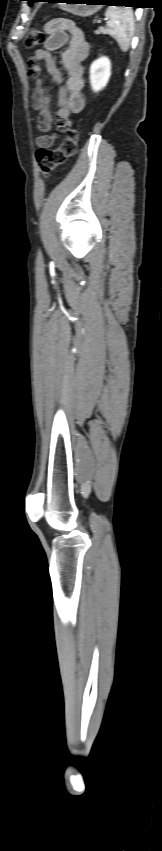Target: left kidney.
Returning <instances> with one entry per match:
<instances>
[{
    "mask_svg": "<svg viewBox=\"0 0 162 851\" xmlns=\"http://www.w3.org/2000/svg\"><path fill=\"white\" fill-rule=\"evenodd\" d=\"M111 75V62L107 57H100L90 66V84L94 92L101 91L107 85Z\"/></svg>",
    "mask_w": 162,
    "mask_h": 851,
    "instance_id": "1",
    "label": "left kidney"
}]
</instances>
